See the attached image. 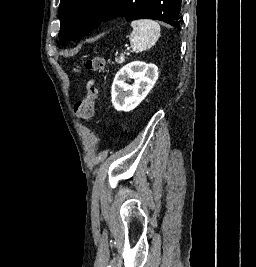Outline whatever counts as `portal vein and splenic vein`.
<instances>
[{"instance_id":"portal-vein-and-splenic-vein-1","label":"portal vein and splenic vein","mask_w":256,"mask_h":267,"mask_svg":"<svg viewBox=\"0 0 256 267\" xmlns=\"http://www.w3.org/2000/svg\"><path fill=\"white\" fill-rule=\"evenodd\" d=\"M131 52H133V49L128 48V49H127V52H126V55H127V56H130V55H131Z\"/></svg>"}]
</instances>
